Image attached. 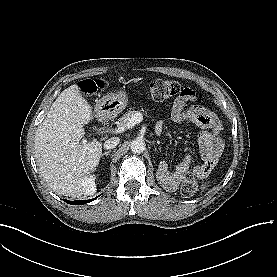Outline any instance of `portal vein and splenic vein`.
Here are the masks:
<instances>
[{
  "label": "portal vein and splenic vein",
  "mask_w": 277,
  "mask_h": 277,
  "mask_svg": "<svg viewBox=\"0 0 277 277\" xmlns=\"http://www.w3.org/2000/svg\"><path fill=\"white\" fill-rule=\"evenodd\" d=\"M143 119L142 113H135L124 126H117L113 132L114 133H123L126 129L132 128L136 124L140 123Z\"/></svg>",
  "instance_id": "1"
}]
</instances>
